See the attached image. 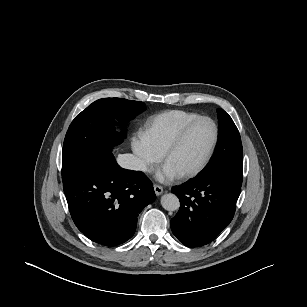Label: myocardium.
<instances>
[{
    "instance_id": "1",
    "label": "myocardium",
    "mask_w": 307,
    "mask_h": 307,
    "mask_svg": "<svg viewBox=\"0 0 307 307\" xmlns=\"http://www.w3.org/2000/svg\"><path fill=\"white\" fill-rule=\"evenodd\" d=\"M200 122H209L212 125L213 130H214L213 139H212V142L204 158L199 163V165H197L195 168H193L190 171L180 174L179 177L182 179H190V178L197 176L199 173H201L206 168V166L210 162L212 155L216 149L218 139H219V128H218L217 123L212 118L207 117V116H200L196 119L191 120L179 130V132L176 134V136L173 138V140L170 142V144L167 146V148L165 149L163 153V161L166 163L169 156L182 143V141L184 140L188 132Z\"/></svg>"
}]
</instances>
